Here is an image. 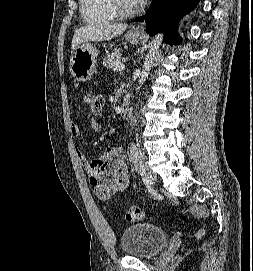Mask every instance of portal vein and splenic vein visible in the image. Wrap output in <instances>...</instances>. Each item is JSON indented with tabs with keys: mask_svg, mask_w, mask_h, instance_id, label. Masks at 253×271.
Listing matches in <instances>:
<instances>
[{
	"mask_svg": "<svg viewBox=\"0 0 253 271\" xmlns=\"http://www.w3.org/2000/svg\"><path fill=\"white\" fill-rule=\"evenodd\" d=\"M125 69V65L124 64H117L115 67H114V71H122Z\"/></svg>",
	"mask_w": 253,
	"mask_h": 271,
	"instance_id": "portal-vein-and-splenic-vein-1",
	"label": "portal vein and splenic vein"
}]
</instances>
